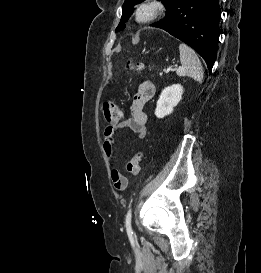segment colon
Instances as JSON below:
<instances>
[{
    "label": "colon",
    "instance_id": "obj_1",
    "mask_svg": "<svg viewBox=\"0 0 261 273\" xmlns=\"http://www.w3.org/2000/svg\"><path fill=\"white\" fill-rule=\"evenodd\" d=\"M126 68L131 71L139 72L141 65L132 61L126 63ZM103 113L108 123H116L120 120L122 115L121 108L112 100H107L103 103ZM142 153H136L126 165V172L131 176H136L141 170ZM117 188L123 190L125 188V182L122 179H118Z\"/></svg>",
    "mask_w": 261,
    "mask_h": 273
}]
</instances>
